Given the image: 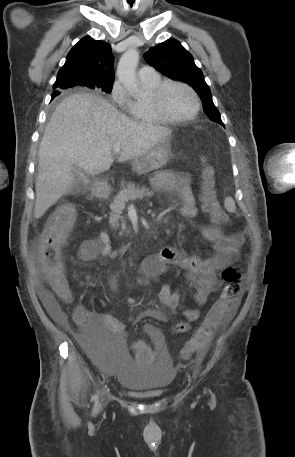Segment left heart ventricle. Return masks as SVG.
<instances>
[{"instance_id":"obj_1","label":"left heart ventricle","mask_w":295,"mask_h":457,"mask_svg":"<svg viewBox=\"0 0 295 457\" xmlns=\"http://www.w3.org/2000/svg\"><path fill=\"white\" fill-rule=\"evenodd\" d=\"M191 93L180 86H170L164 94V108L173 117H185L194 110Z\"/></svg>"}]
</instances>
